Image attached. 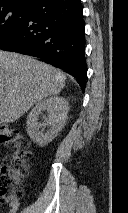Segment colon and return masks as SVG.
<instances>
[{"instance_id": "obj_1", "label": "colon", "mask_w": 128, "mask_h": 213, "mask_svg": "<svg viewBox=\"0 0 128 213\" xmlns=\"http://www.w3.org/2000/svg\"><path fill=\"white\" fill-rule=\"evenodd\" d=\"M0 143L13 148V154L0 166V204L23 195L22 180L28 175L27 162L31 157L28 141L18 129L0 122Z\"/></svg>"}]
</instances>
